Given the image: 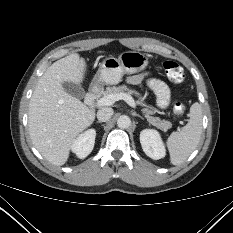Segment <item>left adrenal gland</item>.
I'll list each match as a JSON object with an SVG mask.
<instances>
[{"label":"left adrenal gland","mask_w":233,"mask_h":233,"mask_svg":"<svg viewBox=\"0 0 233 233\" xmlns=\"http://www.w3.org/2000/svg\"><path fill=\"white\" fill-rule=\"evenodd\" d=\"M132 114H133V116H137V117H139L141 119H144L141 115L137 114L136 112H133Z\"/></svg>","instance_id":"1"}]
</instances>
